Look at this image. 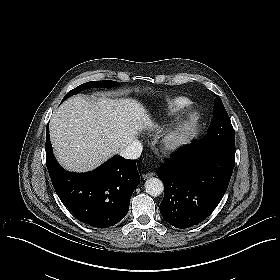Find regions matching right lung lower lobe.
Segmentation results:
<instances>
[{
    "label": "right lung lower lobe",
    "mask_w": 280,
    "mask_h": 280,
    "mask_svg": "<svg viewBox=\"0 0 280 280\" xmlns=\"http://www.w3.org/2000/svg\"><path fill=\"white\" fill-rule=\"evenodd\" d=\"M46 165L62 203L81 222L107 228L127 214L131 195L140 182L134 160L115 156L87 173L65 171L52 152L46 128Z\"/></svg>",
    "instance_id": "1"
}]
</instances>
